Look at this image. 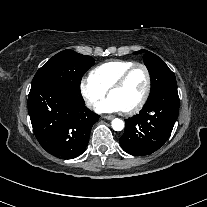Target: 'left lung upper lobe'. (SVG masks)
Masks as SVG:
<instances>
[{"mask_svg": "<svg viewBox=\"0 0 207 207\" xmlns=\"http://www.w3.org/2000/svg\"><path fill=\"white\" fill-rule=\"evenodd\" d=\"M144 50L134 54L143 53ZM144 63L148 68L152 80V89L148 99L154 95L170 89H177V83L174 73L169 67L155 54L146 51L143 56Z\"/></svg>", "mask_w": 207, "mask_h": 207, "instance_id": "5c2ea615", "label": "left lung upper lobe"}]
</instances>
